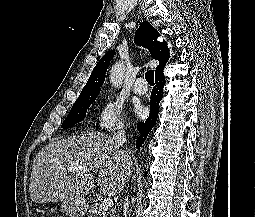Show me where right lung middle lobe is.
<instances>
[{
  "mask_svg": "<svg viewBox=\"0 0 255 217\" xmlns=\"http://www.w3.org/2000/svg\"><path fill=\"white\" fill-rule=\"evenodd\" d=\"M98 93L99 92L80 94L61 127L69 128L74 124L81 122L86 117V112L90 105L95 101Z\"/></svg>",
  "mask_w": 255,
  "mask_h": 217,
  "instance_id": "obj_1",
  "label": "right lung middle lobe"
}]
</instances>
